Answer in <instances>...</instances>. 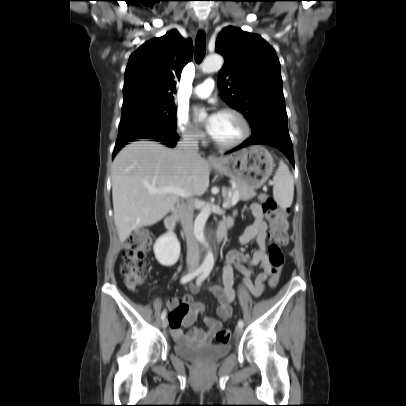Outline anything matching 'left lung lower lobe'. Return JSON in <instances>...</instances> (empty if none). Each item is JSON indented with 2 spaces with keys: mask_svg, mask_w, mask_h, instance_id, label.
<instances>
[{
  "mask_svg": "<svg viewBox=\"0 0 406 406\" xmlns=\"http://www.w3.org/2000/svg\"><path fill=\"white\" fill-rule=\"evenodd\" d=\"M258 144L271 145L275 148H278L288 157L290 162L294 165L292 142L290 137L287 135H281L277 133H262L259 135H254L251 136L249 139H247L238 147L231 150L230 152L239 150L249 145H258Z\"/></svg>",
  "mask_w": 406,
  "mask_h": 406,
  "instance_id": "0a47b994",
  "label": "left lung lower lobe"
}]
</instances>
